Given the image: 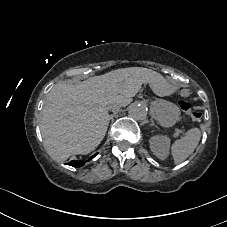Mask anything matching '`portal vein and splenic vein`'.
Listing matches in <instances>:
<instances>
[{"label":"portal vein and splenic vein","mask_w":227,"mask_h":227,"mask_svg":"<svg viewBox=\"0 0 227 227\" xmlns=\"http://www.w3.org/2000/svg\"><path fill=\"white\" fill-rule=\"evenodd\" d=\"M183 132H184V131H183L182 129L178 128V129L174 132L175 134L173 135V137L176 139V138L178 137V134H179V133L182 134Z\"/></svg>","instance_id":"obj_1"}]
</instances>
